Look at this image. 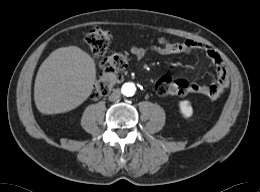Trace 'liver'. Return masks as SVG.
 Returning a JSON list of instances; mask_svg holds the SVG:
<instances>
[{
  "instance_id": "liver-1",
  "label": "liver",
  "mask_w": 260,
  "mask_h": 192,
  "mask_svg": "<svg viewBox=\"0 0 260 192\" xmlns=\"http://www.w3.org/2000/svg\"><path fill=\"white\" fill-rule=\"evenodd\" d=\"M96 80L94 59L77 46L53 51L41 64L34 84V101L43 114L68 112L92 93Z\"/></svg>"
}]
</instances>
